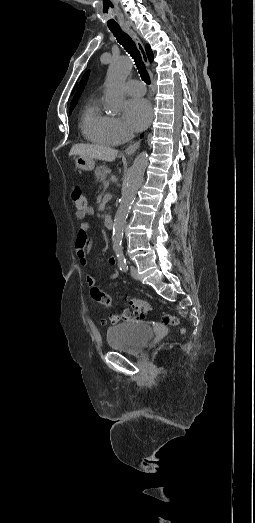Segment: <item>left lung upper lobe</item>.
Returning <instances> with one entry per match:
<instances>
[{
  "instance_id": "obj_1",
  "label": "left lung upper lobe",
  "mask_w": 255,
  "mask_h": 523,
  "mask_svg": "<svg viewBox=\"0 0 255 523\" xmlns=\"http://www.w3.org/2000/svg\"><path fill=\"white\" fill-rule=\"evenodd\" d=\"M88 77H89V71H87V72L83 75V77H82V79H81V82H80V84H79V87H78V89H77V92H76V94L74 95V97H73V99H72V101H71V104H70V110H69L70 113L72 112L73 108H74L75 105L77 104L78 99L80 98V96H81V94H82V92H83V90H84V87H85V85H86V82H87V80H88Z\"/></svg>"
}]
</instances>
